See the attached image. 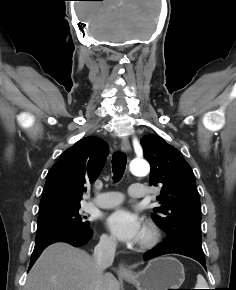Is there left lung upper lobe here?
Masks as SVG:
<instances>
[{"label":"left lung upper lobe","mask_w":236,"mask_h":290,"mask_svg":"<svg viewBox=\"0 0 236 290\" xmlns=\"http://www.w3.org/2000/svg\"><path fill=\"white\" fill-rule=\"evenodd\" d=\"M144 157L151 165L150 185H160L154 222L167 234L165 243H185L202 250L200 199L193 171L182 154L158 135L141 139Z\"/></svg>","instance_id":"1"}]
</instances>
